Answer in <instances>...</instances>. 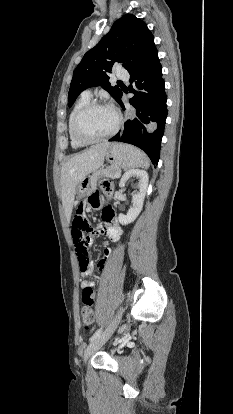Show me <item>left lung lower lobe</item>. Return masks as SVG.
I'll return each mask as SVG.
<instances>
[{
	"mask_svg": "<svg viewBox=\"0 0 233 414\" xmlns=\"http://www.w3.org/2000/svg\"><path fill=\"white\" fill-rule=\"evenodd\" d=\"M129 100L136 115L124 124V130L109 141H120L142 149L157 165L160 157L161 139L167 116L166 93L162 79V67L156 51L138 70L130 73ZM123 110L125 107L118 101Z\"/></svg>",
	"mask_w": 233,
	"mask_h": 414,
	"instance_id": "0a47b994",
	"label": "left lung lower lobe"
}]
</instances>
